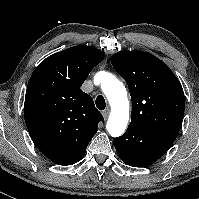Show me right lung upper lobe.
I'll use <instances>...</instances> for the list:
<instances>
[{
    "mask_svg": "<svg viewBox=\"0 0 199 199\" xmlns=\"http://www.w3.org/2000/svg\"><path fill=\"white\" fill-rule=\"evenodd\" d=\"M104 53L74 46L43 60L34 70L25 95L24 116L37 148L59 165L77 163L103 121L93 99L80 87Z\"/></svg>",
    "mask_w": 199,
    "mask_h": 199,
    "instance_id": "right-lung-upper-lobe-1",
    "label": "right lung upper lobe"
}]
</instances>
